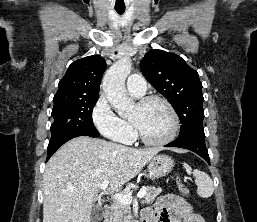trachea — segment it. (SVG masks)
<instances>
[{"label":"trachea","mask_w":257,"mask_h":222,"mask_svg":"<svg viewBox=\"0 0 257 222\" xmlns=\"http://www.w3.org/2000/svg\"><path fill=\"white\" fill-rule=\"evenodd\" d=\"M118 14L122 15L124 13V10H116Z\"/></svg>","instance_id":"1"}]
</instances>
